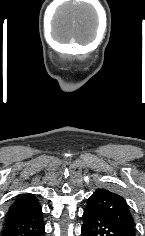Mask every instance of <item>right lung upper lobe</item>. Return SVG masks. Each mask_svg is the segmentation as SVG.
Listing matches in <instances>:
<instances>
[{"label":"right lung upper lobe","instance_id":"cb5924a9","mask_svg":"<svg viewBox=\"0 0 145 236\" xmlns=\"http://www.w3.org/2000/svg\"><path fill=\"white\" fill-rule=\"evenodd\" d=\"M38 207H40V205L32 194H23L10 206L6 217L9 218Z\"/></svg>","mask_w":145,"mask_h":236}]
</instances>
